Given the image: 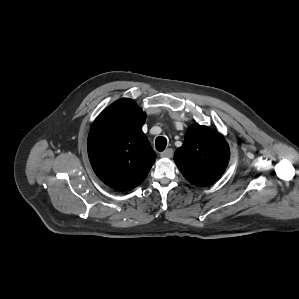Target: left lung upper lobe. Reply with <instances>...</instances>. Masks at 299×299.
<instances>
[{
	"mask_svg": "<svg viewBox=\"0 0 299 299\" xmlns=\"http://www.w3.org/2000/svg\"><path fill=\"white\" fill-rule=\"evenodd\" d=\"M230 158L227 142L221 134L194 124L185 134L174 161L183 176L193 185L207 186L224 173Z\"/></svg>",
	"mask_w": 299,
	"mask_h": 299,
	"instance_id": "obj_1",
	"label": "left lung upper lobe"
}]
</instances>
